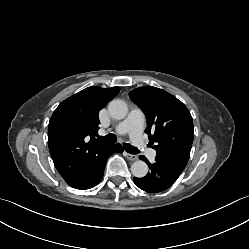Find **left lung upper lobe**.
I'll return each mask as SVG.
<instances>
[{
  "label": "left lung upper lobe",
  "instance_id": "5c2ea615",
  "mask_svg": "<svg viewBox=\"0 0 249 249\" xmlns=\"http://www.w3.org/2000/svg\"><path fill=\"white\" fill-rule=\"evenodd\" d=\"M129 96L146 115L145 132L157 152L156 160L184 170L194 138L187 107L173 95L152 86L136 88Z\"/></svg>",
  "mask_w": 249,
  "mask_h": 249
}]
</instances>
